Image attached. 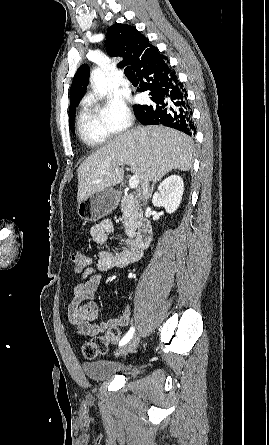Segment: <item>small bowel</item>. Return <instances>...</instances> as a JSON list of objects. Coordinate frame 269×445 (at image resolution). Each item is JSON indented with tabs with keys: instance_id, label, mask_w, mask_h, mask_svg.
<instances>
[{
	"instance_id": "obj_1",
	"label": "small bowel",
	"mask_w": 269,
	"mask_h": 445,
	"mask_svg": "<svg viewBox=\"0 0 269 445\" xmlns=\"http://www.w3.org/2000/svg\"><path fill=\"white\" fill-rule=\"evenodd\" d=\"M114 227L111 221L105 220L91 227V237L98 243L104 244L108 236L112 234ZM140 251L132 247L121 252L113 250H102L97 254L95 265L88 267L81 276V281L73 288V298L68 306L69 321L77 328V331L84 336H97L100 333L107 334L111 330L119 331L120 327L126 326L129 322V307L125 306L120 315L117 312L121 309L117 292L116 312L108 320L95 323L99 316V308L95 302L99 285L103 275L113 268L125 267L129 263L138 260Z\"/></svg>"
}]
</instances>
